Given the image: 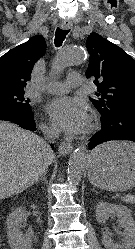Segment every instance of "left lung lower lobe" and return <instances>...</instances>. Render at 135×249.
<instances>
[{
	"label": "left lung lower lobe",
	"mask_w": 135,
	"mask_h": 249,
	"mask_svg": "<svg viewBox=\"0 0 135 249\" xmlns=\"http://www.w3.org/2000/svg\"><path fill=\"white\" fill-rule=\"evenodd\" d=\"M102 129L89 142L92 150L100 143L111 140H130L135 142V106L122 105L102 116Z\"/></svg>",
	"instance_id": "obj_1"
}]
</instances>
